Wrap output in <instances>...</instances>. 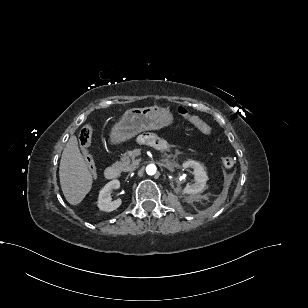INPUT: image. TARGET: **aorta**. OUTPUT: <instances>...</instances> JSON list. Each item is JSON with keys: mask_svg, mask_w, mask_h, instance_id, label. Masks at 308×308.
I'll return each instance as SVG.
<instances>
[{"mask_svg": "<svg viewBox=\"0 0 308 308\" xmlns=\"http://www.w3.org/2000/svg\"><path fill=\"white\" fill-rule=\"evenodd\" d=\"M156 166L154 164H149L147 167H146V173L148 175H154L156 173Z\"/></svg>", "mask_w": 308, "mask_h": 308, "instance_id": "obj_1", "label": "aorta"}]
</instances>
